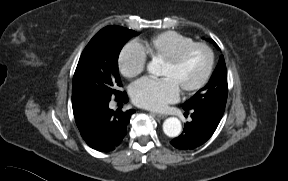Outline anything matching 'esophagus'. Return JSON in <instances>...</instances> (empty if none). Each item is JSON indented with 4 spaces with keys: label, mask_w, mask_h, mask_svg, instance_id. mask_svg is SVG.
Masks as SVG:
<instances>
[{
    "label": "esophagus",
    "mask_w": 288,
    "mask_h": 181,
    "mask_svg": "<svg viewBox=\"0 0 288 181\" xmlns=\"http://www.w3.org/2000/svg\"><path fill=\"white\" fill-rule=\"evenodd\" d=\"M154 115H155L157 118H159V119H164V118L167 117V115H165V114H160V113H154Z\"/></svg>",
    "instance_id": "obj_1"
}]
</instances>
